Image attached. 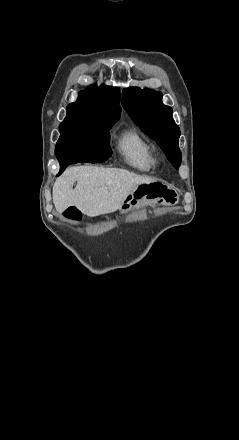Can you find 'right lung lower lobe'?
Segmentation results:
<instances>
[{"label": "right lung lower lobe", "mask_w": 239, "mask_h": 440, "mask_svg": "<svg viewBox=\"0 0 239 440\" xmlns=\"http://www.w3.org/2000/svg\"><path fill=\"white\" fill-rule=\"evenodd\" d=\"M57 159L60 163V175L65 168L70 164L83 163V162H104L111 156L110 148H104L100 146H81L67 148L63 151L56 153Z\"/></svg>", "instance_id": "1"}]
</instances>
